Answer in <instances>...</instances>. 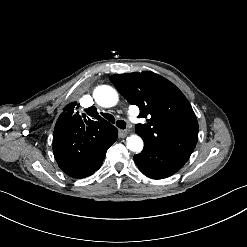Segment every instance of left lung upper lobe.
<instances>
[{
  "instance_id": "5c2ea615",
  "label": "left lung upper lobe",
  "mask_w": 247,
  "mask_h": 247,
  "mask_svg": "<svg viewBox=\"0 0 247 247\" xmlns=\"http://www.w3.org/2000/svg\"><path fill=\"white\" fill-rule=\"evenodd\" d=\"M111 82L124 98L140 108L136 133L144 142L187 161L198 140L196 115L183 93L150 71L115 74Z\"/></svg>"
}]
</instances>
